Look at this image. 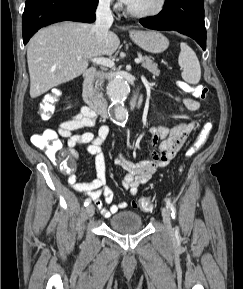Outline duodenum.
I'll return each mask as SVG.
<instances>
[{"instance_id": "duodenum-1", "label": "duodenum", "mask_w": 243, "mask_h": 289, "mask_svg": "<svg viewBox=\"0 0 243 289\" xmlns=\"http://www.w3.org/2000/svg\"><path fill=\"white\" fill-rule=\"evenodd\" d=\"M96 76V69L89 68L83 73L82 97L86 105L99 117L108 118L110 107L107 102L99 98L93 90V81ZM141 100L134 95L128 103L129 109L140 107Z\"/></svg>"}]
</instances>
